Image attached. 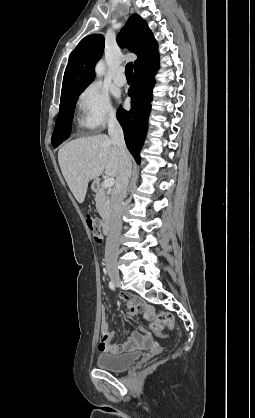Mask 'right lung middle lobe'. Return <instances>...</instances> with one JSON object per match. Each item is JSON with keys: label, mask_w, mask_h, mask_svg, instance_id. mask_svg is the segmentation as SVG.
Returning a JSON list of instances; mask_svg holds the SVG:
<instances>
[{"label": "right lung middle lobe", "mask_w": 255, "mask_h": 418, "mask_svg": "<svg viewBox=\"0 0 255 418\" xmlns=\"http://www.w3.org/2000/svg\"><path fill=\"white\" fill-rule=\"evenodd\" d=\"M83 89H77L61 94L59 113L56 120L55 129L52 135V144L56 148L65 141L71 133V125L74 109L79 95Z\"/></svg>", "instance_id": "obj_1"}]
</instances>
